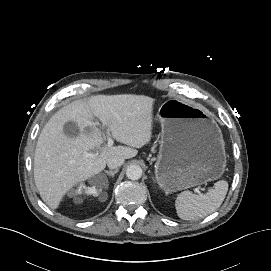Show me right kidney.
I'll return each mask as SVG.
<instances>
[{
  "instance_id": "obj_1",
  "label": "right kidney",
  "mask_w": 271,
  "mask_h": 271,
  "mask_svg": "<svg viewBox=\"0 0 271 271\" xmlns=\"http://www.w3.org/2000/svg\"><path fill=\"white\" fill-rule=\"evenodd\" d=\"M101 188L98 186H91V187H87L85 184H81L78 189L75 191L76 194H88V195H98L99 192H101Z\"/></svg>"
}]
</instances>
